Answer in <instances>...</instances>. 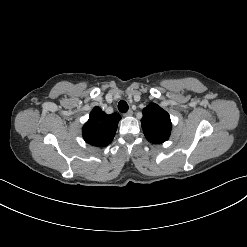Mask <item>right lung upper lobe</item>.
<instances>
[{"label":"right lung upper lobe","instance_id":"obj_1","mask_svg":"<svg viewBox=\"0 0 247 247\" xmlns=\"http://www.w3.org/2000/svg\"><path fill=\"white\" fill-rule=\"evenodd\" d=\"M120 119L118 113L108 115L99 107H95L83 127L84 140L92 146H107L114 138Z\"/></svg>","mask_w":247,"mask_h":247}]
</instances>
